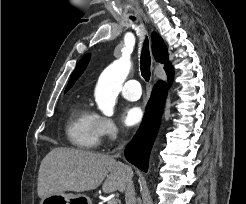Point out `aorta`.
Segmentation results:
<instances>
[{"label": "aorta", "mask_w": 246, "mask_h": 204, "mask_svg": "<svg viewBox=\"0 0 246 204\" xmlns=\"http://www.w3.org/2000/svg\"><path fill=\"white\" fill-rule=\"evenodd\" d=\"M131 69V62L128 57H121L109 65L101 74L95 98L99 110L106 116L114 114V107L118 90L125 81Z\"/></svg>", "instance_id": "aorta-1"}]
</instances>
